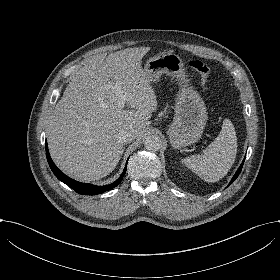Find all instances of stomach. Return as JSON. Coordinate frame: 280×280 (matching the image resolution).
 Here are the masks:
<instances>
[{
	"mask_svg": "<svg viewBox=\"0 0 280 280\" xmlns=\"http://www.w3.org/2000/svg\"><path fill=\"white\" fill-rule=\"evenodd\" d=\"M144 71L150 82L158 81L164 74L179 81L175 116L167 131L172 147L180 149L198 142L208 115L200 94L189 84L182 59L171 51L161 52L147 60Z\"/></svg>",
	"mask_w": 280,
	"mask_h": 280,
	"instance_id": "0dacf381",
	"label": "stomach"
}]
</instances>
